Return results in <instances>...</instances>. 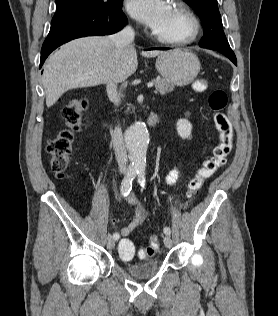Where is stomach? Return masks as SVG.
I'll return each instance as SVG.
<instances>
[{"label":"stomach","instance_id":"0dacf381","mask_svg":"<svg viewBox=\"0 0 278 316\" xmlns=\"http://www.w3.org/2000/svg\"><path fill=\"white\" fill-rule=\"evenodd\" d=\"M156 69L168 83L185 86L197 77L200 61L191 51L172 49L159 55L156 60Z\"/></svg>","mask_w":278,"mask_h":316}]
</instances>
